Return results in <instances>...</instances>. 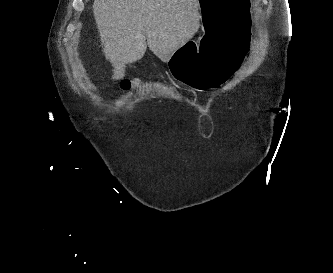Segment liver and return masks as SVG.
Masks as SVG:
<instances>
[{"instance_id":"liver-1","label":"liver","mask_w":333,"mask_h":273,"mask_svg":"<svg viewBox=\"0 0 333 273\" xmlns=\"http://www.w3.org/2000/svg\"><path fill=\"white\" fill-rule=\"evenodd\" d=\"M93 14L113 79L144 56L147 45L163 62L197 32L199 0H94Z\"/></svg>"}]
</instances>
